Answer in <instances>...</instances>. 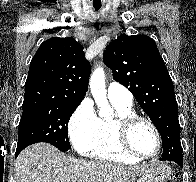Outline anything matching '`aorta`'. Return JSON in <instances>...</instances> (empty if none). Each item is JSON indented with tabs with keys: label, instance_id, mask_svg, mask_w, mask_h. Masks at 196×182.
Segmentation results:
<instances>
[{
	"label": "aorta",
	"instance_id": "762f6f07",
	"mask_svg": "<svg viewBox=\"0 0 196 182\" xmlns=\"http://www.w3.org/2000/svg\"><path fill=\"white\" fill-rule=\"evenodd\" d=\"M90 90L92 96L99 107V116L107 118L113 115V109L108 103L105 88V73L103 68H97L90 77Z\"/></svg>",
	"mask_w": 196,
	"mask_h": 182
}]
</instances>
